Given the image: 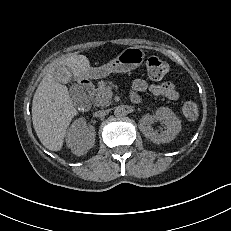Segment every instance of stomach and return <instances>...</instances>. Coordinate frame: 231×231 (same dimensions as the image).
<instances>
[{"label":"stomach","mask_w":231,"mask_h":231,"mask_svg":"<svg viewBox=\"0 0 231 231\" xmlns=\"http://www.w3.org/2000/svg\"><path fill=\"white\" fill-rule=\"evenodd\" d=\"M145 53L139 47H128L109 63L85 72L91 79L108 76L111 73H126L138 68L144 61Z\"/></svg>","instance_id":"obj_1"}]
</instances>
